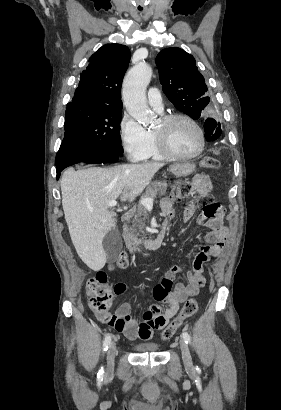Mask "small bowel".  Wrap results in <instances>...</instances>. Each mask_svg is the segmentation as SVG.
I'll list each match as a JSON object with an SVG mask.
<instances>
[{
  "label": "small bowel",
  "instance_id": "small-bowel-1",
  "mask_svg": "<svg viewBox=\"0 0 281 410\" xmlns=\"http://www.w3.org/2000/svg\"><path fill=\"white\" fill-rule=\"evenodd\" d=\"M193 182L196 193L199 196L210 194L212 184L208 176L201 173L196 174ZM180 199L181 197L178 194H172L169 197L163 198L161 200L162 213L168 218H172L173 204ZM195 210L194 202L187 203L184 210L185 220H191L195 215ZM197 222L210 229L206 235L208 245L203 246L196 255L192 269L186 272V282L174 283L176 275L182 273L183 270L179 266H172L166 272L163 280L152 288V297L157 303L149 307L143 316V320L140 322L131 316V306L129 303H122L119 306L114 316L123 319L125 324L116 330L121 332L127 339H151L153 331L165 327L168 321L177 313L180 304L187 297L197 294L199 289L205 285L204 264L209 258L217 257L222 253L228 231L222 216L208 217L206 214H202L198 217ZM113 268V265L109 266L110 270ZM115 286L116 295H122L127 291L126 286L122 283H118ZM161 304L166 305L164 310H162ZM100 318L104 321L102 317ZM104 322L108 323L107 321Z\"/></svg>",
  "mask_w": 281,
  "mask_h": 410
}]
</instances>
